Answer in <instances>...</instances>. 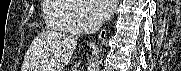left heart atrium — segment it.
I'll return each mask as SVG.
<instances>
[{"mask_svg": "<svg viewBox=\"0 0 181 71\" xmlns=\"http://www.w3.org/2000/svg\"><path fill=\"white\" fill-rule=\"evenodd\" d=\"M90 10L97 19H107L114 11V0H88Z\"/></svg>", "mask_w": 181, "mask_h": 71, "instance_id": "obj_1", "label": "left heart atrium"}]
</instances>
